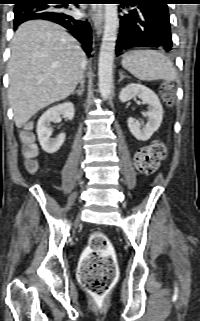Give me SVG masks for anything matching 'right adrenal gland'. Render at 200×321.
I'll return each mask as SVG.
<instances>
[{"mask_svg": "<svg viewBox=\"0 0 200 321\" xmlns=\"http://www.w3.org/2000/svg\"><path fill=\"white\" fill-rule=\"evenodd\" d=\"M83 92H84V87H83V85H82L81 88L78 89V90H76V91H74V92L72 93V95L77 94L78 96H81V95L83 94Z\"/></svg>", "mask_w": 200, "mask_h": 321, "instance_id": "1", "label": "right adrenal gland"}]
</instances>
